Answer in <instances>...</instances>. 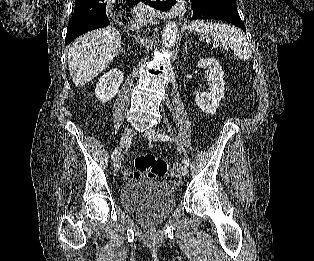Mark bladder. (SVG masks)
Listing matches in <instances>:
<instances>
[{"mask_svg":"<svg viewBox=\"0 0 314 261\" xmlns=\"http://www.w3.org/2000/svg\"><path fill=\"white\" fill-rule=\"evenodd\" d=\"M123 208L142 223L163 222L176 204V190L170 184L156 180H132L120 191Z\"/></svg>","mask_w":314,"mask_h":261,"instance_id":"obj_1","label":"bladder"}]
</instances>
